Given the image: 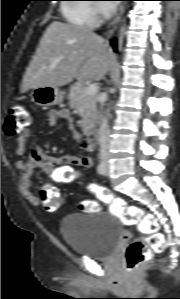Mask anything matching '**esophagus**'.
I'll use <instances>...</instances> for the list:
<instances>
[{
    "label": "esophagus",
    "mask_w": 180,
    "mask_h": 299,
    "mask_svg": "<svg viewBox=\"0 0 180 299\" xmlns=\"http://www.w3.org/2000/svg\"><path fill=\"white\" fill-rule=\"evenodd\" d=\"M124 8L125 6L124 5H121L120 8H119V11L116 15V17L112 20V22L110 23L109 25V28H108V38H111L121 20V16L124 12Z\"/></svg>",
    "instance_id": "1"
}]
</instances>
